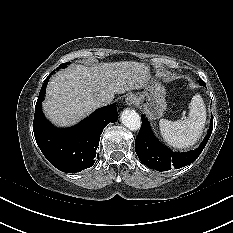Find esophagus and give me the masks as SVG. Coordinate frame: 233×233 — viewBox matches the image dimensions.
I'll list each match as a JSON object with an SVG mask.
<instances>
[{
  "mask_svg": "<svg viewBox=\"0 0 233 233\" xmlns=\"http://www.w3.org/2000/svg\"><path fill=\"white\" fill-rule=\"evenodd\" d=\"M134 102H135V98L134 97L129 96V97L126 98V104L127 105L131 106V105L134 104Z\"/></svg>",
  "mask_w": 233,
  "mask_h": 233,
  "instance_id": "1",
  "label": "esophagus"
}]
</instances>
